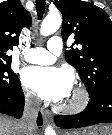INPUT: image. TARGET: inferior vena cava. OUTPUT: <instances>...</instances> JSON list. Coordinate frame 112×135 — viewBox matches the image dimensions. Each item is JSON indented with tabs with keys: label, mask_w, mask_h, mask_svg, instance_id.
<instances>
[{
	"label": "inferior vena cava",
	"mask_w": 112,
	"mask_h": 135,
	"mask_svg": "<svg viewBox=\"0 0 112 135\" xmlns=\"http://www.w3.org/2000/svg\"><path fill=\"white\" fill-rule=\"evenodd\" d=\"M39 106L40 102L38 99L31 97L26 99L24 112L19 121L22 135H35Z\"/></svg>",
	"instance_id": "602c4592"
}]
</instances>
